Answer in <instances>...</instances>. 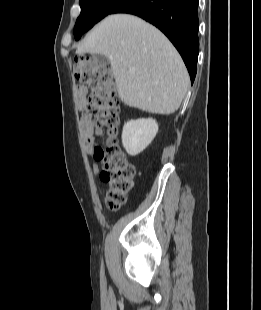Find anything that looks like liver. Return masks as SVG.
Masks as SVG:
<instances>
[{
    "mask_svg": "<svg viewBox=\"0 0 261 310\" xmlns=\"http://www.w3.org/2000/svg\"><path fill=\"white\" fill-rule=\"evenodd\" d=\"M76 53L105 55L122 102L149 113H174L189 87L187 69L171 42L156 27L134 15L107 16ZM130 68L135 72L131 73Z\"/></svg>",
    "mask_w": 261,
    "mask_h": 310,
    "instance_id": "liver-1",
    "label": "liver"
}]
</instances>
